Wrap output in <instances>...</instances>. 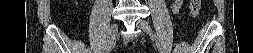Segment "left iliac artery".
Here are the masks:
<instances>
[{"instance_id":"1","label":"left iliac artery","mask_w":253,"mask_h":53,"mask_svg":"<svg viewBox=\"0 0 253 53\" xmlns=\"http://www.w3.org/2000/svg\"><path fill=\"white\" fill-rule=\"evenodd\" d=\"M152 36H154L153 45L156 46V51H157L158 53H163V45H162V42H161V41H156L157 36H155V33H152Z\"/></svg>"}]
</instances>
